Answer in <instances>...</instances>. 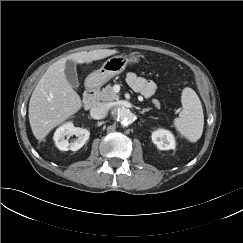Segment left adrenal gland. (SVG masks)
Wrapping results in <instances>:
<instances>
[{"label": "left adrenal gland", "mask_w": 243, "mask_h": 243, "mask_svg": "<svg viewBox=\"0 0 243 243\" xmlns=\"http://www.w3.org/2000/svg\"><path fill=\"white\" fill-rule=\"evenodd\" d=\"M149 110H151V108H145V109L140 110V113L144 114L145 112H148Z\"/></svg>", "instance_id": "left-adrenal-gland-1"}]
</instances>
